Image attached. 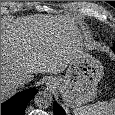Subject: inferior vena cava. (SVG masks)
<instances>
[{
  "instance_id": "obj_1",
  "label": "inferior vena cava",
  "mask_w": 115,
  "mask_h": 115,
  "mask_svg": "<svg viewBox=\"0 0 115 115\" xmlns=\"http://www.w3.org/2000/svg\"><path fill=\"white\" fill-rule=\"evenodd\" d=\"M27 78L25 76H18L15 80H14V84L17 87H23L26 84Z\"/></svg>"
}]
</instances>
